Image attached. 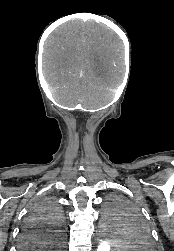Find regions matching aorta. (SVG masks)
<instances>
[{"label": "aorta", "instance_id": "obj_1", "mask_svg": "<svg viewBox=\"0 0 174 251\" xmlns=\"http://www.w3.org/2000/svg\"><path fill=\"white\" fill-rule=\"evenodd\" d=\"M110 223L109 219L103 223L96 251H114L115 247H118L117 242H121L125 238L126 231L123 225L116 222L114 226H111Z\"/></svg>", "mask_w": 174, "mask_h": 251}]
</instances>
